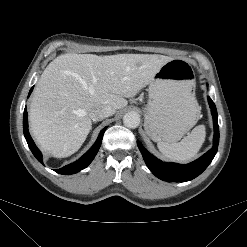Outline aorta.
<instances>
[{
	"label": "aorta",
	"instance_id": "762f6f07",
	"mask_svg": "<svg viewBox=\"0 0 247 247\" xmlns=\"http://www.w3.org/2000/svg\"><path fill=\"white\" fill-rule=\"evenodd\" d=\"M123 123L128 128H137L140 124V115L137 112H128L123 117Z\"/></svg>",
	"mask_w": 247,
	"mask_h": 247
}]
</instances>
